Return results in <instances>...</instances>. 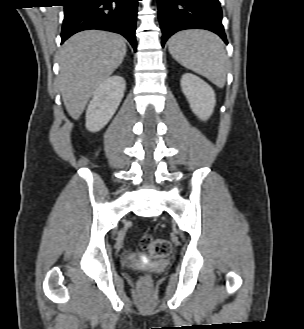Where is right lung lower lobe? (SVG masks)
<instances>
[{"label": "right lung lower lobe", "mask_w": 304, "mask_h": 329, "mask_svg": "<svg viewBox=\"0 0 304 329\" xmlns=\"http://www.w3.org/2000/svg\"><path fill=\"white\" fill-rule=\"evenodd\" d=\"M62 43L73 34L88 29L123 35L136 51V18L139 0H65Z\"/></svg>", "instance_id": "98d812e1"}]
</instances>
